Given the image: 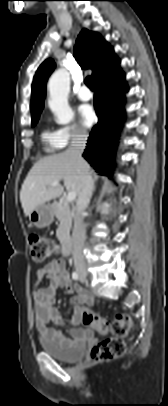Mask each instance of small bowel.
Returning a JSON list of instances; mask_svg holds the SVG:
<instances>
[{"instance_id":"small-bowel-1","label":"small bowel","mask_w":168,"mask_h":406,"mask_svg":"<svg viewBox=\"0 0 168 406\" xmlns=\"http://www.w3.org/2000/svg\"><path fill=\"white\" fill-rule=\"evenodd\" d=\"M36 278L37 282L42 281L44 278L49 280L48 286L35 289L33 297L36 328L40 335L52 343L70 346L73 340L90 334L89 330L80 329L76 326L82 321V313L86 312L84 306L94 304V296L90 292L72 284L65 261L62 259L52 260L37 270ZM60 288L64 289L66 293H76V296L71 300L74 313L71 319L70 333L73 339L64 337L59 331L51 327V324H63V317L55 304L57 291Z\"/></svg>"}]
</instances>
